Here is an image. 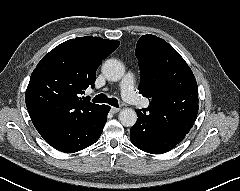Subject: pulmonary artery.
Returning <instances> with one entry per match:
<instances>
[{"mask_svg":"<svg viewBox=\"0 0 240 191\" xmlns=\"http://www.w3.org/2000/svg\"><path fill=\"white\" fill-rule=\"evenodd\" d=\"M121 95L123 99L133 105H140L143 107H148L150 102L148 100L141 99L135 91V79L131 72H128L123 78L121 84Z\"/></svg>","mask_w":240,"mask_h":191,"instance_id":"pulmonary-artery-1","label":"pulmonary artery"}]
</instances>
